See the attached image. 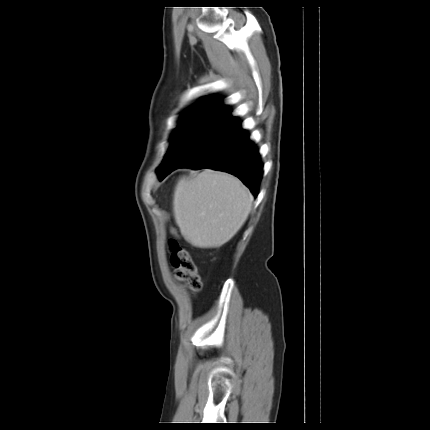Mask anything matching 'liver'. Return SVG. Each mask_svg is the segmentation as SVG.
Masks as SVG:
<instances>
[{
  "mask_svg": "<svg viewBox=\"0 0 430 430\" xmlns=\"http://www.w3.org/2000/svg\"><path fill=\"white\" fill-rule=\"evenodd\" d=\"M252 202L253 196L237 177L206 169L179 180L173 210L186 241L199 248H216L238 232Z\"/></svg>",
  "mask_w": 430,
  "mask_h": 430,
  "instance_id": "liver-1",
  "label": "liver"
}]
</instances>
